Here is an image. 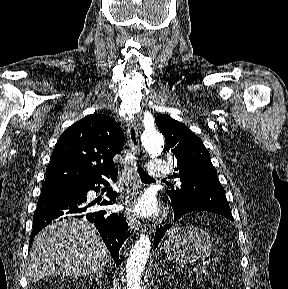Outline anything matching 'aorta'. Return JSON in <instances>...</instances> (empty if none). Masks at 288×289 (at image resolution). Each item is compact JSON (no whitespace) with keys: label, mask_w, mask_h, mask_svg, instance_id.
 I'll use <instances>...</instances> for the list:
<instances>
[{"label":"aorta","mask_w":288,"mask_h":289,"mask_svg":"<svg viewBox=\"0 0 288 289\" xmlns=\"http://www.w3.org/2000/svg\"><path fill=\"white\" fill-rule=\"evenodd\" d=\"M142 144L149 155L157 156L163 150L164 139L155 128H149L142 136ZM150 249V238L148 235L142 234L135 242L127 259V289H141V278L150 254Z\"/></svg>","instance_id":"1"}]
</instances>
